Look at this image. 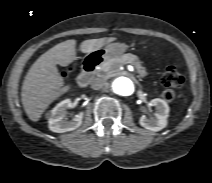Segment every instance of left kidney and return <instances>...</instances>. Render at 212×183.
Returning a JSON list of instances; mask_svg holds the SVG:
<instances>
[{"label": "left kidney", "mask_w": 212, "mask_h": 183, "mask_svg": "<svg viewBox=\"0 0 212 183\" xmlns=\"http://www.w3.org/2000/svg\"><path fill=\"white\" fill-rule=\"evenodd\" d=\"M151 104L155 107V118L148 119L145 115L140 117L139 123L142 127L151 131H160L167 126V118L169 116L168 104L160 99L155 98L151 100Z\"/></svg>", "instance_id": "obj_1"}]
</instances>
